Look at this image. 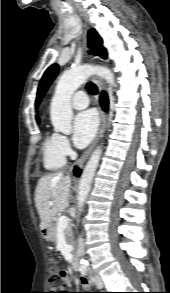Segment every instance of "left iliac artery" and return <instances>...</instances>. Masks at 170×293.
<instances>
[{
    "mask_svg": "<svg viewBox=\"0 0 170 293\" xmlns=\"http://www.w3.org/2000/svg\"><path fill=\"white\" fill-rule=\"evenodd\" d=\"M91 280L94 282V279L93 278H91Z\"/></svg>",
    "mask_w": 170,
    "mask_h": 293,
    "instance_id": "1",
    "label": "left iliac artery"
}]
</instances>
